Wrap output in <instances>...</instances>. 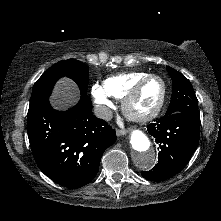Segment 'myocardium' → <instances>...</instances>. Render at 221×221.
Instances as JSON below:
<instances>
[{
    "instance_id": "f54148a6",
    "label": "myocardium",
    "mask_w": 221,
    "mask_h": 221,
    "mask_svg": "<svg viewBox=\"0 0 221 221\" xmlns=\"http://www.w3.org/2000/svg\"><path fill=\"white\" fill-rule=\"evenodd\" d=\"M151 79H158L162 84V94L159 99L157 105L147 113H136L132 109V104L138 97L139 93L141 92L143 86ZM167 96V84L165 80L157 75V74H148L147 76L140 79L132 89L126 94V96L122 100V111L126 118L131 121L144 123L153 120L156 118L163 109Z\"/></svg>"
}]
</instances>
